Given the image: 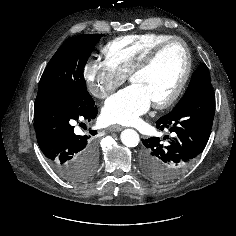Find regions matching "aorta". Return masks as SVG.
<instances>
[{
    "label": "aorta",
    "instance_id": "obj_1",
    "mask_svg": "<svg viewBox=\"0 0 236 236\" xmlns=\"http://www.w3.org/2000/svg\"><path fill=\"white\" fill-rule=\"evenodd\" d=\"M121 142L126 147H136L139 144V135L138 133L133 129H125L121 133Z\"/></svg>",
    "mask_w": 236,
    "mask_h": 236
}]
</instances>
